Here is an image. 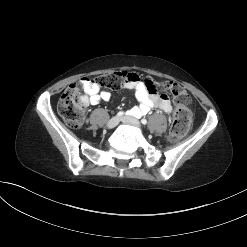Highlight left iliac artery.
<instances>
[{
    "instance_id": "44dca946",
    "label": "left iliac artery",
    "mask_w": 247,
    "mask_h": 247,
    "mask_svg": "<svg viewBox=\"0 0 247 247\" xmlns=\"http://www.w3.org/2000/svg\"><path fill=\"white\" fill-rule=\"evenodd\" d=\"M141 123H142L143 125H146V124H147V120L143 118V119L141 120Z\"/></svg>"
}]
</instances>
